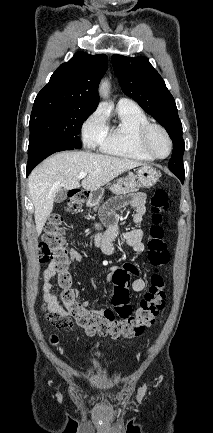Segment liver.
Instances as JSON below:
<instances>
[{
	"label": "liver",
	"instance_id": "6515ba94",
	"mask_svg": "<svg viewBox=\"0 0 213 433\" xmlns=\"http://www.w3.org/2000/svg\"><path fill=\"white\" fill-rule=\"evenodd\" d=\"M140 165L133 160L85 151H64L45 159L28 178L37 235L41 234L53 210L55 195L61 188L72 190L82 186L85 190L95 191ZM80 172L87 173L81 184L77 177Z\"/></svg>",
	"mask_w": 213,
	"mask_h": 433
}]
</instances>
